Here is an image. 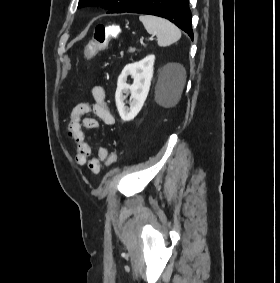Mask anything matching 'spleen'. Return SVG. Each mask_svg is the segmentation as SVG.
<instances>
[{"mask_svg": "<svg viewBox=\"0 0 280 283\" xmlns=\"http://www.w3.org/2000/svg\"><path fill=\"white\" fill-rule=\"evenodd\" d=\"M139 20L146 31L157 37V43L161 47L169 46L181 38V31L170 21L151 15H141ZM185 83V70H182L180 89Z\"/></svg>", "mask_w": 280, "mask_h": 283, "instance_id": "spleen-1", "label": "spleen"}]
</instances>
